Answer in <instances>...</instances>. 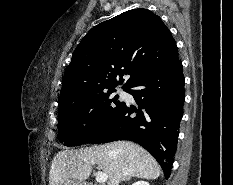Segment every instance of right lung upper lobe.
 <instances>
[{
    "label": "right lung upper lobe",
    "mask_w": 233,
    "mask_h": 185,
    "mask_svg": "<svg viewBox=\"0 0 233 185\" xmlns=\"http://www.w3.org/2000/svg\"><path fill=\"white\" fill-rule=\"evenodd\" d=\"M178 59V49L161 18L133 9L93 27L75 49L63 78L60 108L114 89L125 75L127 89L145 73Z\"/></svg>",
    "instance_id": "1"
}]
</instances>
